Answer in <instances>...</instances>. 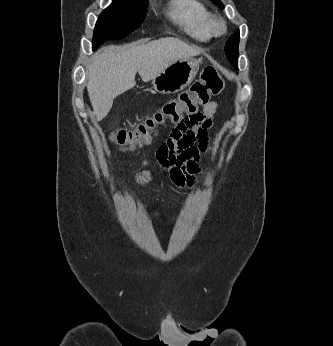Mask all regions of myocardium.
<instances>
[{
    "instance_id": "f54148a6",
    "label": "myocardium",
    "mask_w": 333,
    "mask_h": 346,
    "mask_svg": "<svg viewBox=\"0 0 333 346\" xmlns=\"http://www.w3.org/2000/svg\"><path fill=\"white\" fill-rule=\"evenodd\" d=\"M213 33L215 35H222L227 31V25L223 19H214L213 21Z\"/></svg>"
}]
</instances>
